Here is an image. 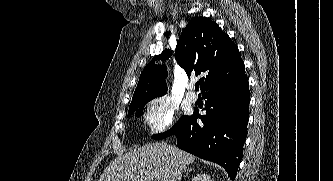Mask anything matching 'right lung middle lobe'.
I'll return each instance as SVG.
<instances>
[{
    "label": "right lung middle lobe",
    "instance_id": "right-lung-middle-lobe-1",
    "mask_svg": "<svg viewBox=\"0 0 333 181\" xmlns=\"http://www.w3.org/2000/svg\"><path fill=\"white\" fill-rule=\"evenodd\" d=\"M148 101H145V102H142L134 107H131L129 108V111H128V117H130L132 114L135 113V115L137 117L141 116L142 113H143V108L144 106L146 105ZM185 116H182L179 121L168 131L164 132V133H161V134H153L152 135V138L153 139H163V138H166L168 136H171L174 134V132L176 131L178 125L180 124V122L184 119Z\"/></svg>",
    "mask_w": 333,
    "mask_h": 181
}]
</instances>
